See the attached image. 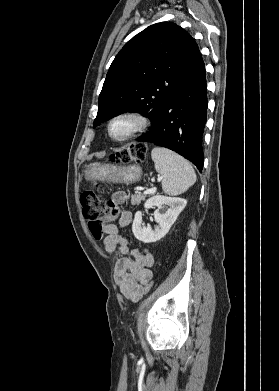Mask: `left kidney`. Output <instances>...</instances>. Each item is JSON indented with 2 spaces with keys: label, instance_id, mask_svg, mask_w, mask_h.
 I'll return each instance as SVG.
<instances>
[{
  "label": "left kidney",
  "instance_id": "obj_1",
  "mask_svg": "<svg viewBox=\"0 0 279 391\" xmlns=\"http://www.w3.org/2000/svg\"><path fill=\"white\" fill-rule=\"evenodd\" d=\"M186 204L187 201L180 197L155 195L149 198L144 204L146 209H149L152 206H157L158 209H162L165 206H169V208L163 213L159 210L156 211L154 218L157 226L154 230L150 227H142V212L138 211L135 214L132 224V232L134 236L143 243H152L160 240L168 233L178 215L185 208Z\"/></svg>",
  "mask_w": 279,
  "mask_h": 391
}]
</instances>
